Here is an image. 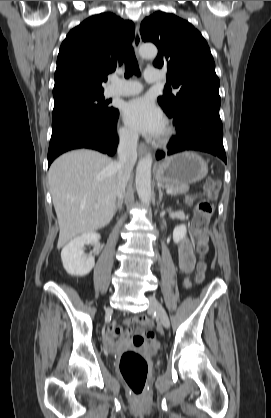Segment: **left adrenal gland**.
<instances>
[{
    "label": "left adrenal gland",
    "instance_id": "left-adrenal-gland-1",
    "mask_svg": "<svg viewBox=\"0 0 271 418\" xmlns=\"http://www.w3.org/2000/svg\"><path fill=\"white\" fill-rule=\"evenodd\" d=\"M158 192H159V202H161L163 198V192L160 187H158Z\"/></svg>",
    "mask_w": 271,
    "mask_h": 418
}]
</instances>
